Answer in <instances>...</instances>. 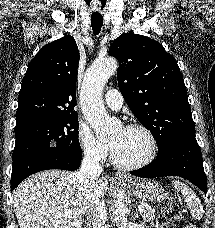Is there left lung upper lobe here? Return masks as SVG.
Returning <instances> with one entry per match:
<instances>
[{
    "label": "left lung upper lobe",
    "instance_id": "1",
    "mask_svg": "<svg viewBox=\"0 0 215 228\" xmlns=\"http://www.w3.org/2000/svg\"><path fill=\"white\" fill-rule=\"evenodd\" d=\"M109 54L119 61V89L137 119L152 133L158 150L195 133L184 80L175 58L154 39L124 33Z\"/></svg>",
    "mask_w": 215,
    "mask_h": 228
}]
</instances>
